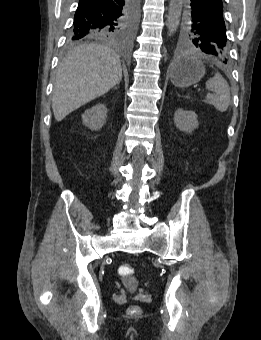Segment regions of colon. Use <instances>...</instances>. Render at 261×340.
I'll return each mask as SVG.
<instances>
[{
    "label": "colon",
    "instance_id": "5ec220e1",
    "mask_svg": "<svg viewBox=\"0 0 261 340\" xmlns=\"http://www.w3.org/2000/svg\"><path fill=\"white\" fill-rule=\"evenodd\" d=\"M118 274L121 279L125 282L131 283L134 275V268L127 263L121 264L118 267ZM141 312V308L137 305H131L128 308V313L130 314H139Z\"/></svg>",
    "mask_w": 261,
    "mask_h": 340
}]
</instances>
